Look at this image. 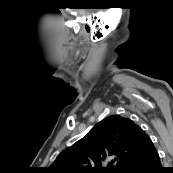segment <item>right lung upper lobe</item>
Here are the masks:
<instances>
[{
    "label": "right lung upper lobe",
    "mask_w": 173,
    "mask_h": 173,
    "mask_svg": "<svg viewBox=\"0 0 173 173\" xmlns=\"http://www.w3.org/2000/svg\"><path fill=\"white\" fill-rule=\"evenodd\" d=\"M153 147L149 136L132 120L111 115L61 152L48 173H120L129 161Z\"/></svg>",
    "instance_id": "obj_1"
}]
</instances>
